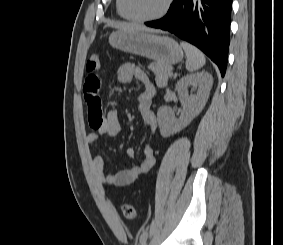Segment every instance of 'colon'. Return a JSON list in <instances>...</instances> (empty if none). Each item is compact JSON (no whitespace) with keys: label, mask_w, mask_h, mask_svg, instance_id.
<instances>
[{"label":"colon","mask_w":283,"mask_h":245,"mask_svg":"<svg viewBox=\"0 0 283 245\" xmlns=\"http://www.w3.org/2000/svg\"><path fill=\"white\" fill-rule=\"evenodd\" d=\"M101 67V58L98 55H93L87 61L86 69L90 73H95L99 71ZM122 214L127 219H132L136 215V209L131 204H123L121 206Z\"/></svg>","instance_id":"obj_1"}]
</instances>
